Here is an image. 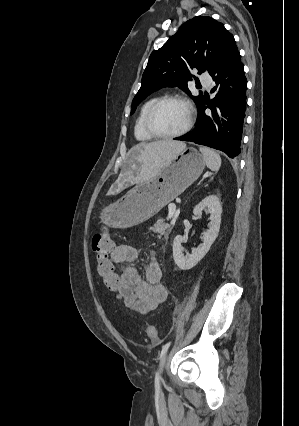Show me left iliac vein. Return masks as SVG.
<instances>
[{"instance_id": "obj_1", "label": "left iliac vein", "mask_w": 299, "mask_h": 426, "mask_svg": "<svg viewBox=\"0 0 299 426\" xmlns=\"http://www.w3.org/2000/svg\"><path fill=\"white\" fill-rule=\"evenodd\" d=\"M166 360H167V354H164V356L162 357L161 362H160V370H159L160 375H162V373H163V370H164V367H165V364H166ZM160 378H161V376H160Z\"/></svg>"}]
</instances>
